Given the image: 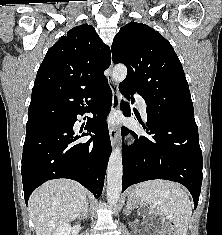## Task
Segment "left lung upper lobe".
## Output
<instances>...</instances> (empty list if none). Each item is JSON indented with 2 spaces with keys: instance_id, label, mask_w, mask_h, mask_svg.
Masks as SVG:
<instances>
[{
  "instance_id": "obj_1",
  "label": "left lung upper lobe",
  "mask_w": 222,
  "mask_h": 235,
  "mask_svg": "<svg viewBox=\"0 0 222 235\" xmlns=\"http://www.w3.org/2000/svg\"><path fill=\"white\" fill-rule=\"evenodd\" d=\"M114 63H124L127 77L120 83L140 94L147 109L194 119L189 86L173 47L146 24L131 22L115 36Z\"/></svg>"
}]
</instances>
